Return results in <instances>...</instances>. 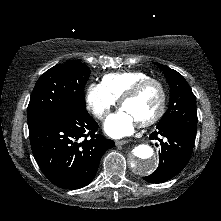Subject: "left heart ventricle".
Masks as SVG:
<instances>
[{"mask_svg":"<svg viewBox=\"0 0 221 221\" xmlns=\"http://www.w3.org/2000/svg\"><path fill=\"white\" fill-rule=\"evenodd\" d=\"M161 94L156 84L145 87L136 97L122 106L138 123L153 116L159 108Z\"/></svg>","mask_w":221,"mask_h":221,"instance_id":"b2bd125f","label":"left heart ventricle"}]
</instances>
